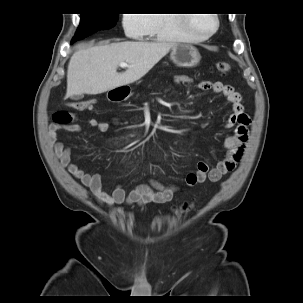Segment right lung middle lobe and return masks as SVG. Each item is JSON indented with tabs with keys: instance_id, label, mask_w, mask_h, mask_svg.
I'll return each mask as SVG.
<instances>
[{
	"instance_id": "right-lung-middle-lobe-1",
	"label": "right lung middle lobe",
	"mask_w": 303,
	"mask_h": 303,
	"mask_svg": "<svg viewBox=\"0 0 303 303\" xmlns=\"http://www.w3.org/2000/svg\"><path fill=\"white\" fill-rule=\"evenodd\" d=\"M118 13L82 14L78 30L72 40H81L99 30L110 29L116 25Z\"/></svg>"
}]
</instances>
